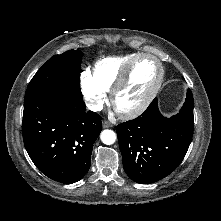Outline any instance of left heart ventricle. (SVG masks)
Masks as SVG:
<instances>
[{"mask_svg":"<svg viewBox=\"0 0 221 221\" xmlns=\"http://www.w3.org/2000/svg\"><path fill=\"white\" fill-rule=\"evenodd\" d=\"M159 76L157 63L150 58L137 62L125 88L116 99V106L128 110L138 106L154 87Z\"/></svg>","mask_w":221,"mask_h":221,"instance_id":"left-heart-ventricle-1","label":"left heart ventricle"}]
</instances>
